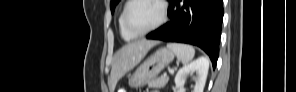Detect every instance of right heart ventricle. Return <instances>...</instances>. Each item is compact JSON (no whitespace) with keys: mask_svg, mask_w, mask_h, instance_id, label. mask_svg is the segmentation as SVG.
<instances>
[{"mask_svg":"<svg viewBox=\"0 0 296 92\" xmlns=\"http://www.w3.org/2000/svg\"><path fill=\"white\" fill-rule=\"evenodd\" d=\"M126 4L124 5L123 9L121 10V12L119 14V17H118V25H119V30H120V33H121V36L123 37V39H125L126 41H130V40L134 39L135 36L131 35L126 30V28L124 26V23H123V13H124V9H125Z\"/></svg>","mask_w":296,"mask_h":92,"instance_id":"1","label":"right heart ventricle"}]
</instances>
